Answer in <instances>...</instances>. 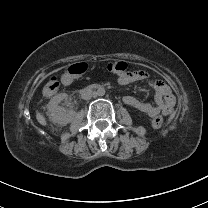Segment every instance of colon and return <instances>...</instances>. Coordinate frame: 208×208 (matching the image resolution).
I'll use <instances>...</instances> for the list:
<instances>
[{"mask_svg":"<svg viewBox=\"0 0 208 208\" xmlns=\"http://www.w3.org/2000/svg\"><path fill=\"white\" fill-rule=\"evenodd\" d=\"M127 63L121 60H115L109 63L108 71L114 75H118L123 78L126 76ZM84 72V67L80 63H75L67 66L64 72L58 79H55L56 82L62 80L64 82H70L73 78L80 76ZM47 90H53L55 88V83H48ZM152 127L155 129H161L164 126V120L160 116H156L151 121Z\"/></svg>","mask_w":208,"mask_h":208,"instance_id":"5ec220e1","label":"colon"}]
</instances>
